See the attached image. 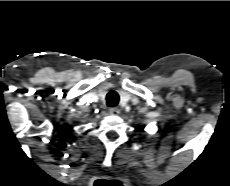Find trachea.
I'll return each instance as SVG.
<instances>
[{
	"instance_id": "obj_1",
	"label": "trachea",
	"mask_w": 230,
	"mask_h": 186,
	"mask_svg": "<svg viewBox=\"0 0 230 186\" xmlns=\"http://www.w3.org/2000/svg\"><path fill=\"white\" fill-rule=\"evenodd\" d=\"M119 102V95L116 91H110L106 95V103L108 106H116Z\"/></svg>"
}]
</instances>
